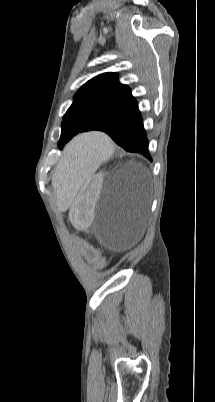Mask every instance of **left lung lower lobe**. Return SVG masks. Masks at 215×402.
Wrapping results in <instances>:
<instances>
[{
  "mask_svg": "<svg viewBox=\"0 0 215 402\" xmlns=\"http://www.w3.org/2000/svg\"><path fill=\"white\" fill-rule=\"evenodd\" d=\"M95 130L107 133L126 151L141 153L152 160L148 151L147 135L136 101L118 112L110 120L102 123Z\"/></svg>",
  "mask_w": 215,
  "mask_h": 402,
  "instance_id": "left-lung-lower-lobe-1",
  "label": "left lung lower lobe"
}]
</instances>
